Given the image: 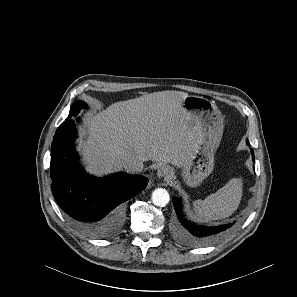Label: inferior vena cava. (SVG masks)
I'll list each match as a JSON object with an SVG mask.
<instances>
[{"mask_svg": "<svg viewBox=\"0 0 297 297\" xmlns=\"http://www.w3.org/2000/svg\"><path fill=\"white\" fill-rule=\"evenodd\" d=\"M144 161L139 157H130L125 160L123 167L126 171L132 173L141 172L144 168Z\"/></svg>", "mask_w": 297, "mask_h": 297, "instance_id": "602c4592", "label": "inferior vena cava"}]
</instances>
